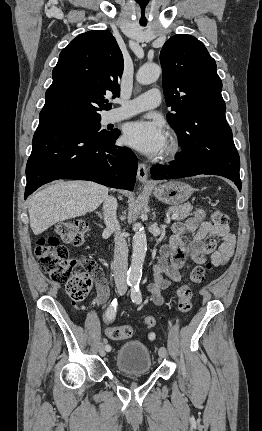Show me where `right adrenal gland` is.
Returning <instances> with one entry per match:
<instances>
[{"label": "right adrenal gland", "instance_id": "1", "mask_svg": "<svg viewBox=\"0 0 262 431\" xmlns=\"http://www.w3.org/2000/svg\"><path fill=\"white\" fill-rule=\"evenodd\" d=\"M97 214H98V216H99L100 219H103V215H102L101 212H97Z\"/></svg>", "mask_w": 262, "mask_h": 431}]
</instances>
